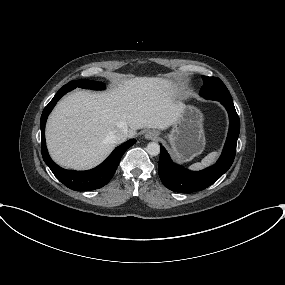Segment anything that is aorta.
Segmentation results:
<instances>
[{
  "label": "aorta",
  "mask_w": 285,
  "mask_h": 285,
  "mask_svg": "<svg viewBox=\"0 0 285 285\" xmlns=\"http://www.w3.org/2000/svg\"><path fill=\"white\" fill-rule=\"evenodd\" d=\"M147 152L151 156H157L160 153V145L156 142H150L146 148Z\"/></svg>",
  "instance_id": "aorta-1"
}]
</instances>
